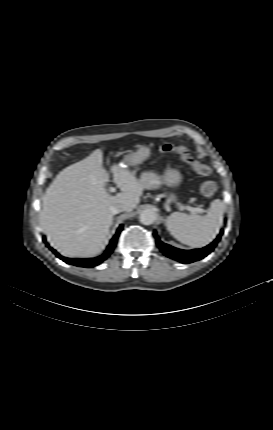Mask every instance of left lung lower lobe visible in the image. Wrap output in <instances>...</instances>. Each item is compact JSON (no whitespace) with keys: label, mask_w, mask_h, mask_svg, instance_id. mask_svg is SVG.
I'll return each instance as SVG.
<instances>
[{"label":"left lung lower lobe","mask_w":273,"mask_h":430,"mask_svg":"<svg viewBox=\"0 0 273 430\" xmlns=\"http://www.w3.org/2000/svg\"><path fill=\"white\" fill-rule=\"evenodd\" d=\"M222 234L223 230L220 231V234L210 245L201 249L194 250H181L168 244H165L157 237L156 232H154V237L156 239V244L158 248L162 251L164 255L181 263L187 264L200 260L207 256L210 252H212L216 247L217 243L220 241Z\"/></svg>","instance_id":"0a47b994"}]
</instances>
